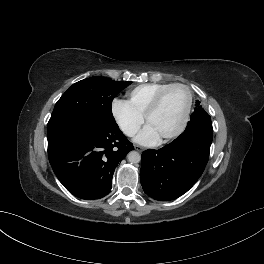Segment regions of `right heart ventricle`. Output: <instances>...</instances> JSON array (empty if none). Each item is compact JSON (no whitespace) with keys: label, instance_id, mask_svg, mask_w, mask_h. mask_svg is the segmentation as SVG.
Wrapping results in <instances>:
<instances>
[{"label":"right heart ventricle","instance_id":"1","mask_svg":"<svg viewBox=\"0 0 264 264\" xmlns=\"http://www.w3.org/2000/svg\"><path fill=\"white\" fill-rule=\"evenodd\" d=\"M168 85V83L138 85L127 92L128 103L136 112L143 116L156 94Z\"/></svg>","mask_w":264,"mask_h":264}]
</instances>
